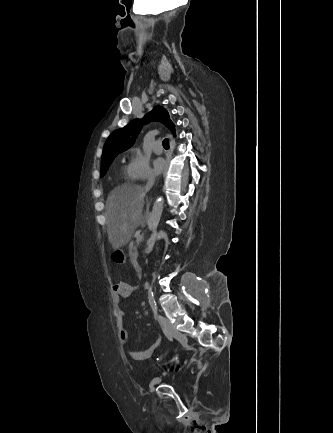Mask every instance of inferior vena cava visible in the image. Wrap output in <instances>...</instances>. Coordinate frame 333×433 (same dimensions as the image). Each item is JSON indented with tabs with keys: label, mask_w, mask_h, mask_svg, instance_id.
<instances>
[{
	"label": "inferior vena cava",
	"mask_w": 333,
	"mask_h": 433,
	"mask_svg": "<svg viewBox=\"0 0 333 433\" xmlns=\"http://www.w3.org/2000/svg\"><path fill=\"white\" fill-rule=\"evenodd\" d=\"M154 183H155V177L152 173H149L148 178H147V184H146L145 188L148 190L151 189L153 187ZM159 319L164 320V318L162 316H159Z\"/></svg>",
	"instance_id": "1"
}]
</instances>
